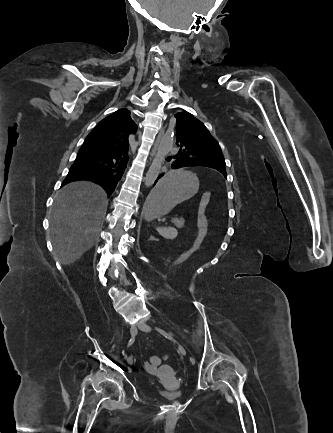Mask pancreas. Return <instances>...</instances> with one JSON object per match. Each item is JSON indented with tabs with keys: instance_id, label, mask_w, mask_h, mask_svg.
<instances>
[{
	"instance_id": "1",
	"label": "pancreas",
	"mask_w": 333,
	"mask_h": 433,
	"mask_svg": "<svg viewBox=\"0 0 333 433\" xmlns=\"http://www.w3.org/2000/svg\"><path fill=\"white\" fill-rule=\"evenodd\" d=\"M172 222L175 224L176 222L178 223V225H176L177 228H183L184 227V220L183 219H177V218H173Z\"/></svg>"
}]
</instances>
